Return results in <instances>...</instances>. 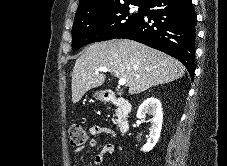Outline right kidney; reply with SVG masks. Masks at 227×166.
Instances as JSON below:
<instances>
[{"label":"right kidney","mask_w":227,"mask_h":166,"mask_svg":"<svg viewBox=\"0 0 227 166\" xmlns=\"http://www.w3.org/2000/svg\"><path fill=\"white\" fill-rule=\"evenodd\" d=\"M146 114L152 116V118L150 119V135L147 143L142 148L144 152L152 150L159 140L163 121L161 102L154 97L146 99L137 111V118L144 119Z\"/></svg>","instance_id":"right-kidney-1"}]
</instances>
